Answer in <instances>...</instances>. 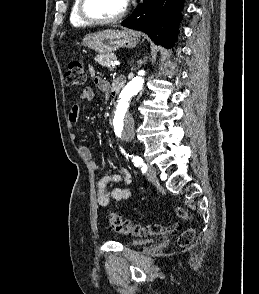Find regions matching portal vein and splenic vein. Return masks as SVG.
<instances>
[{
  "label": "portal vein and splenic vein",
  "instance_id": "portal-vein-and-splenic-vein-1",
  "mask_svg": "<svg viewBox=\"0 0 259 294\" xmlns=\"http://www.w3.org/2000/svg\"><path fill=\"white\" fill-rule=\"evenodd\" d=\"M117 65H119V62H118V61H112V62H111V66H112V67H115V66H117Z\"/></svg>",
  "mask_w": 259,
  "mask_h": 294
}]
</instances>
